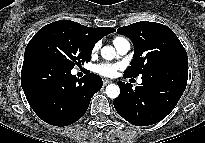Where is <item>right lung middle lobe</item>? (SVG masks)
<instances>
[{
  "mask_svg": "<svg viewBox=\"0 0 205 143\" xmlns=\"http://www.w3.org/2000/svg\"><path fill=\"white\" fill-rule=\"evenodd\" d=\"M94 43L70 20L50 23L30 40L25 54L34 52L51 57L73 69L91 59Z\"/></svg>",
  "mask_w": 205,
  "mask_h": 143,
  "instance_id": "right-lung-middle-lobe-1",
  "label": "right lung middle lobe"
}]
</instances>
